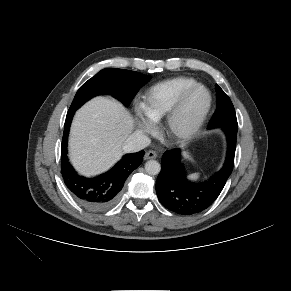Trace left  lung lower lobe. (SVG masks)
I'll return each instance as SVG.
<instances>
[{
    "mask_svg": "<svg viewBox=\"0 0 291 291\" xmlns=\"http://www.w3.org/2000/svg\"><path fill=\"white\" fill-rule=\"evenodd\" d=\"M227 137V155L221 170L205 182H191L186 178L180 162V149L164 153L162 170L156 182V193L161 204L181 215H192L207 209L221 193L230 176L236 149L238 125L219 124Z\"/></svg>",
    "mask_w": 291,
    "mask_h": 291,
    "instance_id": "obj_1",
    "label": "left lung lower lobe"
}]
</instances>
